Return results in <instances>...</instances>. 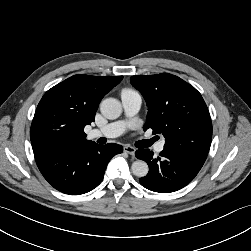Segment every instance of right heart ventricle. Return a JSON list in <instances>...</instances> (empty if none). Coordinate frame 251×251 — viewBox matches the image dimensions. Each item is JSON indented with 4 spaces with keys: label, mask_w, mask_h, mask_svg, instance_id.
<instances>
[{
    "label": "right heart ventricle",
    "mask_w": 251,
    "mask_h": 251,
    "mask_svg": "<svg viewBox=\"0 0 251 251\" xmlns=\"http://www.w3.org/2000/svg\"><path fill=\"white\" fill-rule=\"evenodd\" d=\"M133 90L125 89L123 92H132Z\"/></svg>",
    "instance_id": "obj_1"
}]
</instances>
